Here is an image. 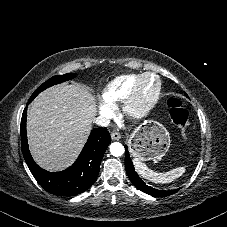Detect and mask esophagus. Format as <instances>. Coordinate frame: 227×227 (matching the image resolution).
<instances>
[{
  "mask_svg": "<svg viewBox=\"0 0 227 227\" xmlns=\"http://www.w3.org/2000/svg\"><path fill=\"white\" fill-rule=\"evenodd\" d=\"M121 135L119 134V132L117 131H112L111 132V139L112 140H120Z\"/></svg>",
  "mask_w": 227,
  "mask_h": 227,
  "instance_id": "1",
  "label": "esophagus"
}]
</instances>
